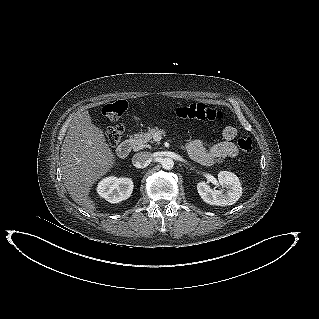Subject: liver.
<instances>
[{
	"label": "liver",
	"mask_w": 319,
	"mask_h": 319,
	"mask_svg": "<svg viewBox=\"0 0 319 319\" xmlns=\"http://www.w3.org/2000/svg\"><path fill=\"white\" fill-rule=\"evenodd\" d=\"M64 185L72 199L88 212L95 203L89 197L93 184L114 164V155L103 131L92 124L88 111L78 112L70 122L60 151Z\"/></svg>",
	"instance_id": "6515ba94"
}]
</instances>
